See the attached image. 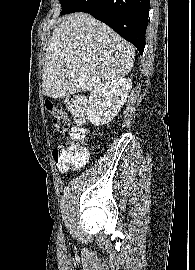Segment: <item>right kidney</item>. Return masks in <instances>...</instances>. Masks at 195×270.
Here are the masks:
<instances>
[{
	"label": "right kidney",
	"mask_w": 195,
	"mask_h": 270,
	"mask_svg": "<svg viewBox=\"0 0 195 270\" xmlns=\"http://www.w3.org/2000/svg\"><path fill=\"white\" fill-rule=\"evenodd\" d=\"M131 88L129 78H120L95 88L88 100V120L95 126L108 124L124 105Z\"/></svg>",
	"instance_id": "ca27d5eb"
}]
</instances>
